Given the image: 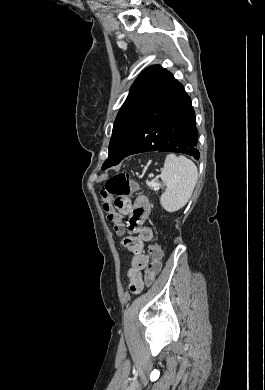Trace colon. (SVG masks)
Wrapping results in <instances>:
<instances>
[{
	"mask_svg": "<svg viewBox=\"0 0 265 390\" xmlns=\"http://www.w3.org/2000/svg\"><path fill=\"white\" fill-rule=\"evenodd\" d=\"M137 190L138 185L131 179L129 173L125 171L116 173L107 179L100 190L103 209L107 213L108 221L118 234L123 233L124 222L123 216L116 210L115 204L112 202V197L127 196ZM148 252L151 261L145 270V284L150 286L161 269L162 252L156 244L150 245Z\"/></svg>",
	"mask_w": 265,
	"mask_h": 390,
	"instance_id": "5ec220e1",
	"label": "colon"
}]
</instances>
